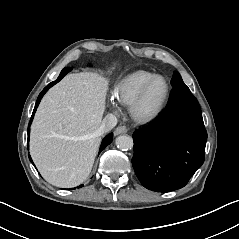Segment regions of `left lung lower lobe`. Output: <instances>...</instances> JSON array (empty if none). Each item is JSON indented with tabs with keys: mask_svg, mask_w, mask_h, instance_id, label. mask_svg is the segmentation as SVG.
Segmentation results:
<instances>
[{
	"mask_svg": "<svg viewBox=\"0 0 239 239\" xmlns=\"http://www.w3.org/2000/svg\"><path fill=\"white\" fill-rule=\"evenodd\" d=\"M132 165L152 191L184 187L204 162L207 132L197 99L186 85L173 87L167 108L152 124L133 134Z\"/></svg>",
	"mask_w": 239,
	"mask_h": 239,
	"instance_id": "0a47b994",
	"label": "left lung lower lobe"
}]
</instances>
